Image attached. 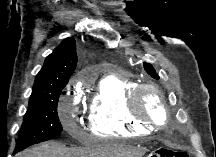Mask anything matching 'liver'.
Here are the masks:
<instances>
[{
  "instance_id": "obj_1",
  "label": "liver",
  "mask_w": 216,
  "mask_h": 157,
  "mask_svg": "<svg viewBox=\"0 0 216 157\" xmlns=\"http://www.w3.org/2000/svg\"><path fill=\"white\" fill-rule=\"evenodd\" d=\"M145 152V149L107 142L88 148H67L49 142L24 151L20 157H141Z\"/></svg>"
}]
</instances>
